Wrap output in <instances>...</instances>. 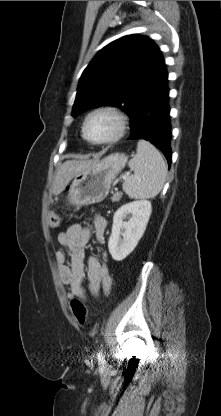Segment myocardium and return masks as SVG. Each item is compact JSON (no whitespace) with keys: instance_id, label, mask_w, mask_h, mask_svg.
I'll return each mask as SVG.
<instances>
[{"instance_id":"myocardium-1","label":"myocardium","mask_w":221,"mask_h":416,"mask_svg":"<svg viewBox=\"0 0 221 416\" xmlns=\"http://www.w3.org/2000/svg\"><path fill=\"white\" fill-rule=\"evenodd\" d=\"M98 114H108L112 116L116 120V124H117L114 133L104 139H93L87 133V125H88L89 120L93 116L98 115ZM127 123L128 121H127L126 115L119 108L115 106H111V105L100 106V107L93 109L85 116L83 124H82V135L85 140H87L88 142L92 144H96V145L110 144L119 140L125 134Z\"/></svg>"}]
</instances>
